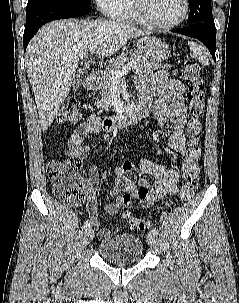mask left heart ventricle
Segmentation results:
<instances>
[{"instance_id": "1", "label": "left heart ventricle", "mask_w": 239, "mask_h": 303, "mask_svg": "<svg viewBox=\"0 0 239 303\" xmlns=\"http://www.w3.org/2000/svg\"><path fill=\"white\" fill-rule=\"evenodd\" d=\"M148 18L156 23H170L178 19L184 9L183 0H144Z\"/></svg>"}]
</instances>
